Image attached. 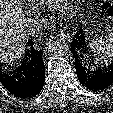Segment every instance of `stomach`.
Wrapping results in <instances>:
<instances>
[{
  "label": "stomach",
  "mask_w": 113,
  "mask_h": 113,
  "mask_svg": "<svg viewBox=\"0 0 113 113\" xmlns=\"http://www.w3.org/2000/svg\"><path fill=\"white\" fill-rule=\"evenodd\" d=\"M94 34H95V28L87 25L86 26V29H85V35H86V37L87 38L93 37Z\"/></svg>",
  "instance_id": "stomach-1"
}]
</instances>
